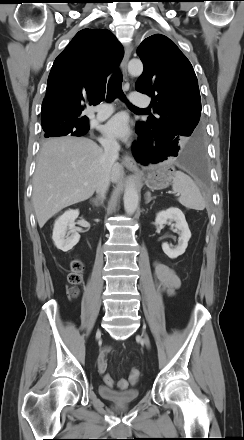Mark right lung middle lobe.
Listing matches in <instances>:
<instances>
[{
  "label": "right lung middle lobe",
  "instance_id": "1",
  "mask_svg": "<svg viewBox=\"0 0 244 440\" xmlns=\"http://www.w3.org/2000/svg\"><path fill=\"white\" fill-rule=\"evenodd\" d=\"M45 132L44 137H57V136H81L87 133L88 125H74L62 121H50L46 124H42Z\"/></svg>",
  "mask_w": 244,
  "mask_h": 440
}]
</instances>
